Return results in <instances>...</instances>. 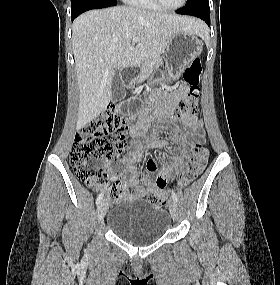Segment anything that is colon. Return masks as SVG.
Masks as SVG:
<instances>
[{"label": "colon", "instance_id": "5ec220e1", "mask_svg": "<svg viewBox=\"0 0 280 285\" xmlns=\"http://www.w3.org/2000/svg\"><path fill=\"white\" fill-rule=\"evenodd\" d=\"M201 72V63L197 58L185 69L183 79L188 91L179 105L178 114L197 113L201 94ZM126 134L125 120L116 109L109 108L79 130L70 153V163L77 178L94 191L105 188L113 202L119 199L120 184L105 172V164L129 148ZM207 158V148L202 141H196L179 184L186 186L195 181L203 172ZM166 199L167 195L162 191L151 193L147 197L152 204H163Z\"/></svg>", "mask_w": 280, "mask_h": 285}]
</instances>
